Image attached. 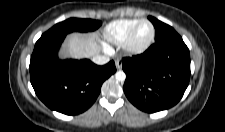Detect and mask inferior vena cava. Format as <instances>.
Masks as SVG:
<instances>
[{
    "label": "inferior vena cava",
    "mask_w": 225,
    "mask_h": 132,
    "mask_svg": "<svg viewBox=\"0 0 225 132\" xmlns=\"http://www.w3.org/2000/svg\"><path fill=\"white\" fill-rule=\"evenodd\" d=\"M109 60H110V58L105 55H97L92 59V61L97 65H104V64L108 63Z\"/></svg>",
    "instance_id": "602c4592"
}]
</instances>
